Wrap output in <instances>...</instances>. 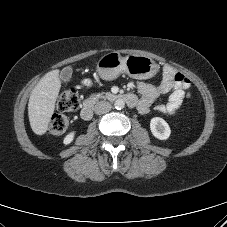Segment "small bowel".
Masks as SVG:
<instances>
[{
    "label": "small bowel",
    "instance_id": "1",
    "mask_svg": "<svg viewBox=\"0 0 227 227\" xmlns=\"http://www.w3.org/2000/svg\"><path fill=\"white\" fill-rule=\"evenodd\" d=\"M84 84L89 87L91 82L85 81ZM188 87L189 81L184 75L176 73L170 66H165L158 86L144 82L138 84L140 99L137 101V110L141 114H147L160 95L170 92L167 102L158 104L156 109L160 113L174 115L184 99L190 96Z\"/></svg>",
    "mask_w": 227,
    "mask_h": 227
}]
</instances>
